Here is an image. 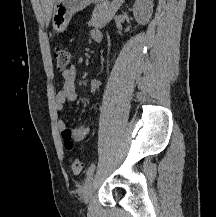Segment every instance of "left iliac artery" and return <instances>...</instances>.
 Returning <instances> with one entry per match:
<instances>
[{"label": "left iliac artery", "instance_id": "obj_1", "mask_svg": "<svg viewBox=\"0 0 216 217\" xmlns=\"http://www.w3.org/2000/svg\"><path fill=\"white\" fill-rule=\"evenodd\" d=\"M95 170V164H91L86 172L87 179L93 174Z\"/></svg>", "mask_w": 216, "mask_h": 217}]
</instances>
